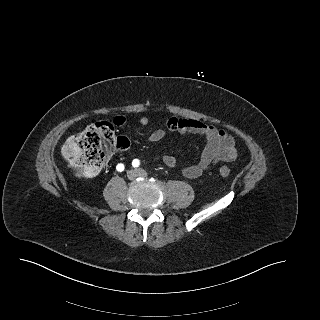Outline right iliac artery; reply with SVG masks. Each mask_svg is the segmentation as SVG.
Masks as SVG:
<instances>
[{"mask_svg": "<svg viewBox=\"0 0 320 320\" xmlns=\"http://www.w3.org/2000/svg\"><path fill=\"white\" fill-rule=\"evenodd\" d=\"M117 171L122 172L124 170V165L123 164H118L116 167Z\"/></svg>", "mask_w": 320, "mask_h": 320, "instance_id": "obj_1", "label": "right iliac artery"}]
</instances>
